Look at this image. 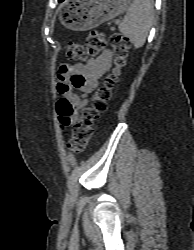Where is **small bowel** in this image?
I'll return each instance as SVG.
<instances>
[{
	"label": "small bowel",
	"mask_w": 194,
	"mask_h": 250,
	"mask_svg": "<svg viewBox=\"0 0 194 250\" xmlns=\"http://www.w3.org/2000/svg\"><path fill=\"white\" fill-rule=\"evenodd\" d=\"M113 55L104 50L98 57L86 63L62 65L57 79V90L61 98L57 103L62 127H68L78 111L88 103L87 95L99 84L100 78L111 68Z\"/></svg>",
	"instance_id": "1"
}]
</instances>
